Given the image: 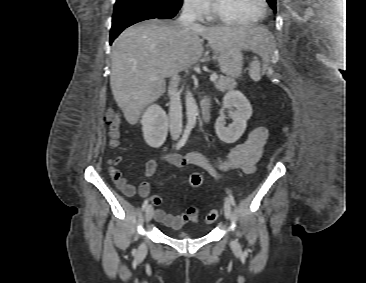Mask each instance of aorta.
<instances>
[{
    "label": "aorta",
    "instance_id": "762f6f07",
    "mask_svg": "<svg viewBox=\"0 0 366 283\" xmlns=\"http://www.w3.org/2000/svg\"><path fill=\"white\" fill-rule=\"evenodd\" d=\"M185 105H186L187 125L189 127H193L196 125L197 122L198 107L190 91H187L186 93Z\"/></svg>",
    "mask_w": 366,
    "mask_h": 283
}]
</instances>
